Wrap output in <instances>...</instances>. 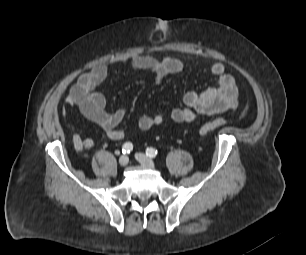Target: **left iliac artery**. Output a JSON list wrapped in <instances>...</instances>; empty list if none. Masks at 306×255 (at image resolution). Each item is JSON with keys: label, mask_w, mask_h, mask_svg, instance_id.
Here are the masks:
<instances>
[{"label": "left iliac artery", "mask_w": 306, "mask_h": 255, "mask_svg": "<svg viewBox=\"0 0 306 255\" xmlns=\"http://www.w3.org/2000/svg\"><path fill=\"white\" fill-rule=\"evenodd\" d=\"M146 155L149 156L150 158H154L157 156V150H155L154 148L152 147H148L146 149Z\"/></svg>", "instance_id": "1"}]
</instances>
